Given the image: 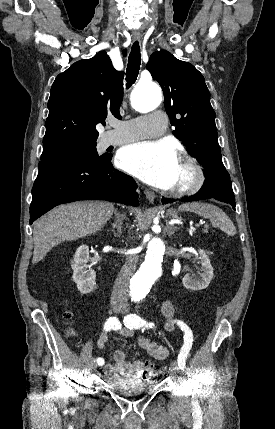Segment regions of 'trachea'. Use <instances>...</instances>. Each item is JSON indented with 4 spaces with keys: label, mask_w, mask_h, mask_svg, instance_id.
Wrapping results in <instances>:
<instances>
[{
    "label": "trachea",
    "mask_w": 275,
    "mask_h": 429,
    "mask_svg": "<svg viewBox=\"0 0 275 429\" xmlns=\"http://www.w3.org/2000/svg\"><path fill=\"white\" fill-rule=\"evenodd\" d=\"M141 64L140 46L136 41L132 45L131 53L128 58V64L126 69V87L129 88L135 83Z\"/></svg>",
    "instance_id": "3493384b"
}]
</instances>
